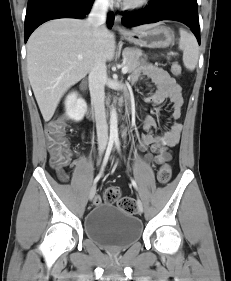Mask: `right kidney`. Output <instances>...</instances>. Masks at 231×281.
I'll return each instance as SVG.
<instances>
[{"label":"right kidney","instance_id":"1","mask_svg":"<svg viewBox=\"0 0 231 281\" xmlns=\"http://www.w3.org/2000/svg\"><path fill=\"white\" fill-rule=\"evenodd\" d=\"M65 111L66 115L74 120L81 121L87 111V104L84 99L78 97L77 92H71L65 99Z\"/></svg>","mask_w":231,"mask_h":281}]
</instances>
